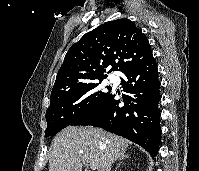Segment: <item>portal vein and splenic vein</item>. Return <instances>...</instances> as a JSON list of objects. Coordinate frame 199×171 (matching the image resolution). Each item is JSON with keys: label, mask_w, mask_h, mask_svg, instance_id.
<instances>
[{"label": "portal vein and splenic vein", "mask_w": 199, "mask_h": 171, "mask_svg": "<svg viewBox=\"0 0 199 171\" xmlns=\"http://www.w3.org/2000/svg\"><path fill=\"white\" fill-rule=\"evenodd\" d=\"M91 170H96L97 169V164L96 163H89L88 164Z\"/></svg>", "instance_id": "18ae733b"}]
</instances>
